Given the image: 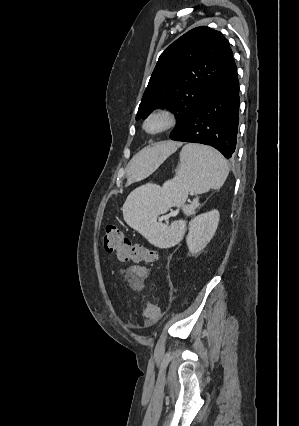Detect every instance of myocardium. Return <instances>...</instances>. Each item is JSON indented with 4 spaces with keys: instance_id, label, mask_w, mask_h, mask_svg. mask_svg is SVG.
<instances>
[{
    "instance_id": "myocardium-1",
    "label": "myocardium",
    "mask_w": 299,
    "mask_h": 426,
    "mask_svg": "<svg viewBox=\"0 0 299 426\" xmlns=\"http://www.w3.org/2000/svg\"><path fill=\"white\" fill-rule=\"evenodd\" d=\"M152 121H160L161 126L154 131L149 130L148 125ZM176 122V114L171 109L165 107L156 108L144 118L142 129L148 135L157 136L172 129L176 125Z\"/></svg>"
}]
</instances>
